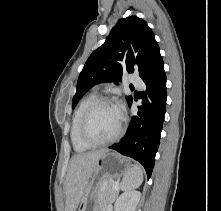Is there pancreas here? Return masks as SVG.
Instances as JSON below:
<instances>
[{
  "instance_id": "cf45deb5",
  "label": "pancreas",
  "mask_w": 221,
  "mask_h": 211,
  "mask_svg": "<svg viewBox=\"0 0 221 211\" xmlns=\"http://www.w3.org/2000/svg\"><path fill=\"white\" fill-rule=\"evenodd\" d=\"M118 193V189L114 188L113 180L103 182L96 192L98 211H106L107 206L117 198Z\"/></svg>"
}]
</instances>
